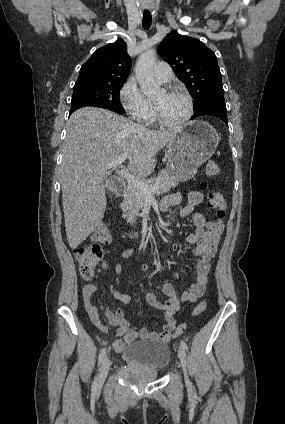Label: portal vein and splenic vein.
I'll return each instance as SVG.
<instances>
[{
    "instance_id": "18ae733b",
    "label": "portal vein and splenic vein",
    "mask_w": 285,
    "mask_h": 424,
    "mask_svg": "<svg viewBox=\"0 0 285 424\" xmlns=\"http://www.w3.org/2000/svg\"><path fill=\"white\" fill-rule=\"evenodd\" d=\"M127 156L123 155L118 160L113 161L108 165L109 169H117L120 164L126 160ZM116 173L128 182L129 186L140 189L146 197H152V194L159 190V186H149L145 181L136 178L134 175L125 169L116 170Z\"/></svg>"
}]
</instances>
